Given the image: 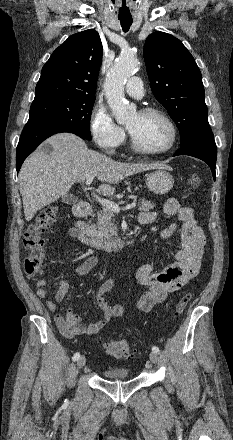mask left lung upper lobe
I'll list each match as a JSON object with an SVG mask.
<instances>
[{
    "label": "left lung upper lobe",
    "mask_w": 233,
    "mask_h": 440,
    "mask_svg": "<svg viewBox=\"0 0 233 440\" xmlns=\"http://www.w3.org/2000/svg\"><path fill=\"white\" fill-rule=\"evenodd\" d=\"M143 54L151 90L175 121L180 146L211 134L202 76L183 43L155 32L146 39Z\"/></svg>",
    "instance_id": "5c2ea615"
}]
</instances>
